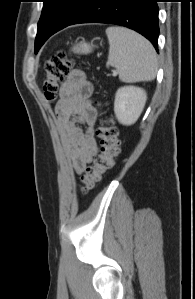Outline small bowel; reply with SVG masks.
Segmentation results:
<instances>
[{
    "instance_id": "1",
    "label": "small bowel",
    "mask_w": 195,
    "mask_h": 299,
    "mask_svg": "<svg viewBox=\"0 0 195 299\" xmlns=\"http://www.w3.org/2000/svg\"><path fill=\"white\" fill-rule=\"evenodd\" d=\"M92 86L81 70H72L61 88L57 105L63 151L72 168L81 174L99 152L95 138L98 111L90 96Z\"/></svg>"
}]
</instances>
